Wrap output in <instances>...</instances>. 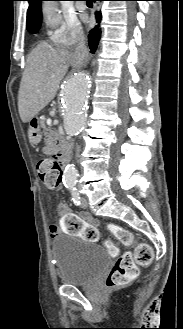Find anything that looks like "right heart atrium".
Listing matches in <instances>:
<instances>
[{"label":"right heart atrium","mask_w":183,"mask_h":329,"mask_svg":"<svg viewBox=\"0 0 183 329\" xmlns=\"http://www.w3.org/2000/svg\"><path fill=\"white\" fill-rule=\"evenodd\" d=\"M83 32L78 22H68L50 35L53 43L60 46L70 45L82 38Z\"/></svg>","instance_id":"right-heart-atrium-1"}]
</instances>
